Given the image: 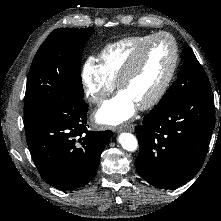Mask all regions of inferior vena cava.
<instances>
[{"mask_svg":"<svg viewBox=\"0 0 221 221\" xmlns=\"http://www.w3.org/2000/svg\"><path fill=\"white\" fill-rule=\"evenodd\" d=\"M102 100H103V98L101 97V96H97V95H95L93 98H92V101L93 102H98V103H101L102 102Z\"/></svg>","mask_w":221,"mask_h":221,"instance_id":"1","label":"inferior vena cava"}]
</instances>
